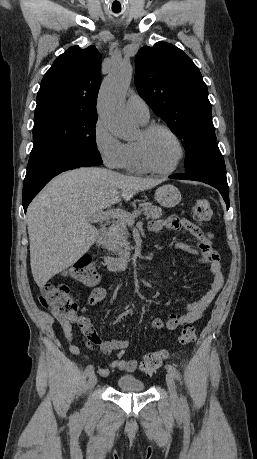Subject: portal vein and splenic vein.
Wrapping results in <instances>:
<instances>
[{
	"instance_id": "portal-vein-and-splenic-vein-1",
	"label": "portal vein and splenic vein",
	"mask_w": 257,
	"mask_h": 459,
	"mask_svg": "<svg viewBox=\"0 0 257 459\" xmlns=\"http://www.w3.org/2000/svg\"><path fill=\"white\" fill-rule=\"evenodd\" d=\"M138 214H139L138 212H136L135 214H130L120 209L101 211L99 214L92 217L90 221L91 222H101L104 220L117 219V220L125 221L129 225H133L135 222V217Z\"/></svg>"
}]
</instances>
